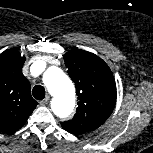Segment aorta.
Here are the masks:
<instances>
[{"mask_svg": "<svg viewBox=\"0 0 153 153\" xmlns=\"http://www.w3.org/2000/svg\"><path fill=\"white\" fill-rule=\"evenodd\" d=\"M43 82L53 95L51 108L55 115L69 116L75 106V89L71 80L58 67H50L43 75Z\"/></svg>", "mask_w": 153, "mask_h": 153, "instance_id": "762f6f07", "label": "aorta"}]
</instances>
